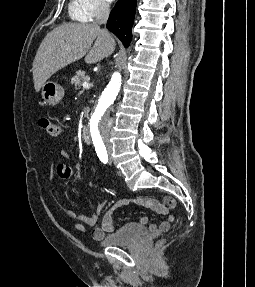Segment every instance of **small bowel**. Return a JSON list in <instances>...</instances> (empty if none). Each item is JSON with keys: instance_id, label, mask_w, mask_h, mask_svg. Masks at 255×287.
<instances>
[{"instance_id": "obj_1", "label": "small bowel", "mask_w": 255, "mask_h": 287, "mask_svg": "<svg viewBox=\"0 0 255 287\" xmlns=\"http://www.w3.org/2000/svg\"><path fill=\"white\" fill-rule=\"evenodd\" d=\"M60 155L63 158H69V153L67 151L62 150ZM56 172L61 179H69L72 176L71 168L65 166L64 164H59ZM52 178L53 176L51 175L50 179ZM129 203H135L137 205L147 207L156 213L165 216V219L159 225L152 224L149 226L148 229L152 234L160 235L169 231L172 223L175 220V216L172 213V209L175 207V200L172 197H164L162 201L153 198H121L108 206L105 203L99 204L95 213L91 216L76 213L74 211H66V215L74 224L75 229L78 231L85 232L86 227H92L93 238L99 240L104 236L105 233L112 232L115 229L112 217L113 211ZM100 218L102 226L100 228L95 227ZM148 222L149 218L147 216H142L139 219V223L141 225H146Z\"/></svg>"}]
</instances>
